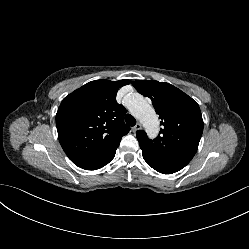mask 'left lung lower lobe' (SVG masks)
<instances>
[{
    "label": "left lung lower lobe",
    "instance_id": "obj_1",
    "mask_svg": "<svg viewBox=\"0 0 249 249\" xmlns=\"http://www.w3.org/2000/svg\"><path fill=\"white\" fill-rule=\"evenodd\" d=\"M144 160L156 171L163 174H172L183 168V166L171 164V163H163L159 161H155L146 157H143Z\"/></svg>",
    "mask_w": 249,
    "mask_h": 249
}]
</instances>
